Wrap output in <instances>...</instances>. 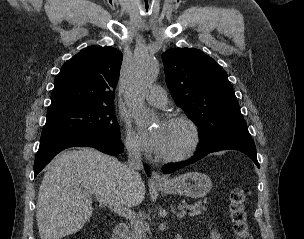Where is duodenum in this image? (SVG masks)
<instances>
[{
  "label": "duodenum",
  "mask_w": 304,
  "mask_h": 239,
  "mask_svg": "<svg viewBox=\"0 0 304 239\" xmlns=\"http://www.w3.org/2000/svg\"><path fill=\"white\" fill-rule=\"evenodd\" d=\"M128 226L125 223H119L116 225L113 232V239H128Z\"/></svg>",
  "instance_id": "410a0bca"
}]
</instances>
